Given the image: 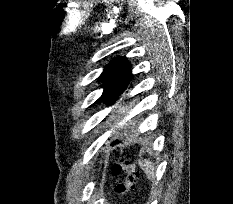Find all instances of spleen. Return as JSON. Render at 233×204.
I'll return each instance as SVG.
<instances>
[{
	"mask_svg": "<svg viewBox=\"0 0 233 204\" xmlns=\"http://www.w3.org/2000/svg\"><path fill=\"white\" fill-rule=\"evenodd\" d=\"M139 166L145 172L146 177L150 181H154L156 178V169L154 164L149 160L139 161Z\"/></svg>",
	"mask_w": 233,
	"mask_h": 204,
	"instance_id": "spleen-1",
	"label": "spleen"
}]
</instances>
